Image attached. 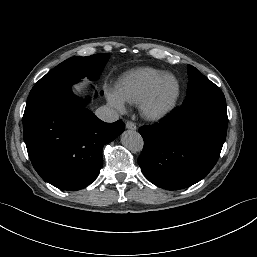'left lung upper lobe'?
<instances>
[{
  "mask_svg": "<svg viewBox=\"0 0 257 257\" xmlns=\"http://www.w3.org/2000/svg\"><path fill=\"white\" fill-rule=\"evenodd\" d=\"M189 83L183 104H195L205 100H224L222 91L195 67L188 66Z\"/></svg>",
  "mask_w": 257,
  "mask_h": 257,
  "instance_id": "5c2ea615",
  "label": "left lung upper lobe"
}]
</instances>
